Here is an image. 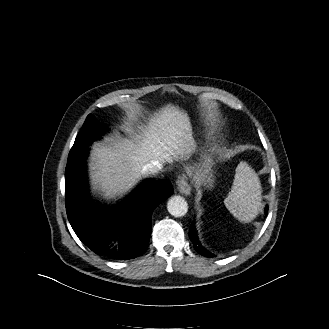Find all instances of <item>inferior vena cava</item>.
Returning a JSON list of instances; mask_svg holds the SVG:
<instances>
[{"instance_id": "inferior-vena-cava-1", "label": "inferior vena cava", "mask_w": 329, "mask_h": 329, "mask_svg": "<svg viewBox=\"0 0 329 329\" xmlns=\"http://www.w3.org/2000/svg\"><path fill=\"white\" fill-rule=\"evenodd\" d=\"M163 169V164L159 161H151L150 163H147L143 166L141 172L142 174H157Z\"/></svg>"}]
</instances>
